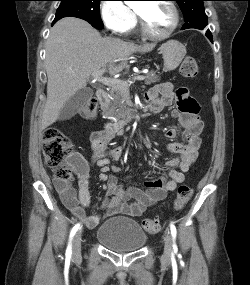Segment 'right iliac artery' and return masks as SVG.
<instances>
[{"label": "right iliac artery", "instance_id": "1", "mask_svg": "<svg viewBox=\"0 0 250 285\" xmlns=\"http://www.w3.org/2000/svg\"><path fill=\"white\" fill-rule=\"evenodd\" d=\"M80 227V223L76 224L71 232H70V236H69V244H68V247L66 249V256L67 257H71V254H72V244H71V241H72V238L74 237L75 233L77 232V230L79 229Z\"/></svg>", "mask_w": 250, "mask_h": 285}]
</instances>
